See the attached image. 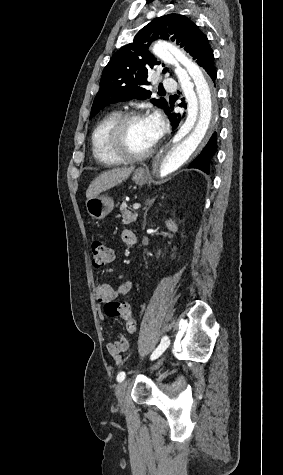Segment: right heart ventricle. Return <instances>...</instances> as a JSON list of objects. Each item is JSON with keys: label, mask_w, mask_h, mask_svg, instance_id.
Instances as JSON below:
<instances>
[{"label": "right heart ventricle", "mask_w": 283, "mask_h": 475, "mask_svg": "<svg viewBox=\"0 0 283 475\" xmlns=\"http://www.w3.org/2000/svg\"><path fill=\"white\" fill-rule=\"evenodd\" d=\"M121 111L119 110H111L106 113L103 117H101L96 125L94 126L91 134V147L92 152L96 160L99 162H103L100 156V152L106 154V148L103 149V145L105 143L106 136L115 122V120L121 115ZM109 157V156H108Z\"/></svg>", "instance_id": "obj_1"}]
</instances>
